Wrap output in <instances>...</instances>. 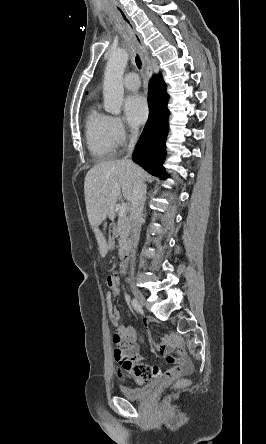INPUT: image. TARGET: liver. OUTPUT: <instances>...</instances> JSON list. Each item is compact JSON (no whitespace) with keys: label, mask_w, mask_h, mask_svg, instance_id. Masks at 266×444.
<instances>
[{"label":"liver","mask_w":266,"mask_h":444,"mask_svg":"<svg viewBox=\"0 0 266 444\" xmlns=\"http://www.w3.org/2000/svg\"><path fill=\"white\" fill-rule=\"evenodd\" d=\"M144 178V171L129 160L102 162L91 168L84 181L85 203L89 223L95 233L101 257L109 246L99 225L109 218L114 219L115 205L121 191L131 201L135 183Z\"/></svg>","instance_id":"1"}]
</instances>
